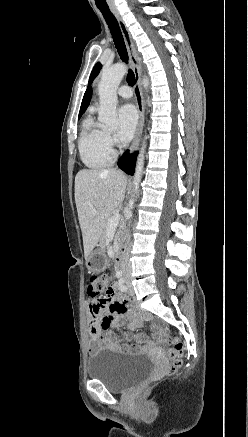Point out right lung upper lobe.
Returning <instances> with one entry per match:
<instances>
[{"mask_svg":"<svg viewBox=\"0 0 248 437\" xmlns=\"http://www.w3.org/2000/svg\"><path fill=\"white\" fill-rule=\"evenodd\" d=\"M91 96H92V89L89 88L86 90V92L84 94L79 115H82L84 113V111L87 109L89 102H90V99H91Z\"/></svg>","mask_w":248,"mask_h":437,"instance_id":"right-lung-upper-lobe-1","label":"right lung upper lobe"}]
</instances>
